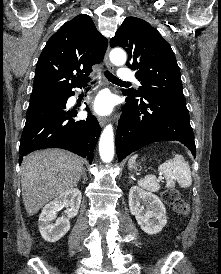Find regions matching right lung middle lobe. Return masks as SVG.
<instances>
[{"label": "right lung middle lobe", "instance_id": "right-lung-middle-lobe-1", "mask_svg": "<svg viewBox=\"0 0 221 274\" xmlns=\"http://www.w3.org/2000/svg\"><path fill=\"white\" fill-rule=\"evenodd\" d=\"M61 96H63V95H61ZM61 96H56V97L43 99V100H37V101H30V103H39V102L47 101V100H50V99L58 98V97H61Z\"/></svg>", "mask_w": 221, "mask_h": 274}]
</instances>
